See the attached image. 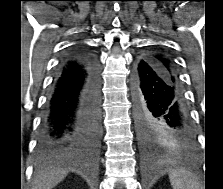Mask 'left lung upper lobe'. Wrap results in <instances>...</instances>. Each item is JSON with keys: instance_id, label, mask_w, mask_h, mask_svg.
I'll return each instance as SVG.
<instances>
[{"instance_id": "obj_1", "label": "left lung upper lobe", "mask_w": 223, "mask_h": 189, "mask_svg": "<svg viewBox=\"0 0 223 189\" xmlns=\"http://www.w3.org/2000/svg\"><path fill=\"white\" fill-rule=\"evenodd\" d=\"M141 59L160 65L173 81L180 84L175 63L164 49L157 47L149 49L142 55ZM139 134L143 145L147 149L186 148L190 146L182 144L169 129L159 124L146 129H139Z\"/></svg>"}]
</instances>
